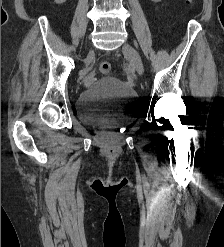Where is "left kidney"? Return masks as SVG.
Listing matches in <instances>:
<instances>
[{
    "label": "left kidney",
    "instance_id": "left-kidney-1",
    "mask_svg": "<svg viewBox=\"0 0 224 247\" xmlns=\"http://www.w3.org/2000/svg\"><path fill=\"white\" fill-rule=\"evenodd\" d=\"M151 2H161V0H151Z\"/></svg>",
    "mask_w": 224,
    "mask_h": 247
}]
</instances>
